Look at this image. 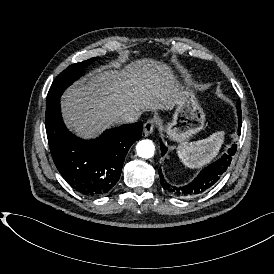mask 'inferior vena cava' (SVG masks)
<instances>
[{"instance_id": "602c4592", "label": "inferior vena cava", "mask_w": 274, "mask_h": 274, "mask_svg": "<svg viewBox=\"0 0 274 274\" xmlns=\"http://www.w3.org/2000/svg\"><path fill=\"white\" fill-rule=\"evenodd\" d=\"M141 116L140 112H136V111H129V112H124L120 115V120L122 123H135L137 122V120L139 119V117Z\"/></svg>"}]
</instances>
